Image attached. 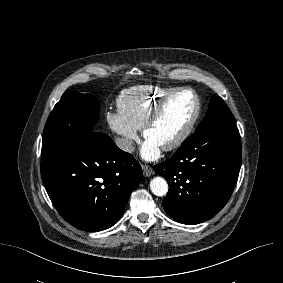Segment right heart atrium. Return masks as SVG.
Wrapping results in <instances>:
<instances>
[{
	"label": "right heart atrium",
	"instance_id": "obj_1",
	"mask_svg": "<svg viewBox=\"0 0 283 283\" xmlns=\"http://www.w3.org/2000/svg\"><path fill=\"white\" fill-rule=\"evenodd\" d=\"M106 119L111 130L118 136L121 148L131 152L138 139V129L131 125L119 111H109Z\"/></svg>",
	"mask_w": 283,
	"mask_h": 283
}]
</instances>
